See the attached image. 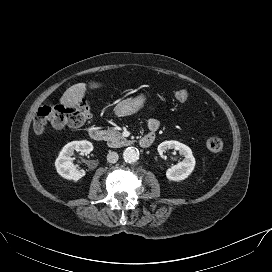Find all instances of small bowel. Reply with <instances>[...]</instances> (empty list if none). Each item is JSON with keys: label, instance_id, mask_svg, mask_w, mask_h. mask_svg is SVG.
Wrapping results in <instances>:
<instances>
[{"label": "small bowel", "instance_id": "1", "mask_svg": "<svg viewBox=\"0 0 272 272\" xmlns=\"http://www.w3.org/2000/svg\"><path fill=\"white\" fill-rule=\"evenodd\" d=\"M147 126L149 129L148 134H153L155 136V132L159 129L160 127V122L156 118H150L147 122Z\"/></svg>", "mask_w": 272, "mask_h": 272}]
</instances>
